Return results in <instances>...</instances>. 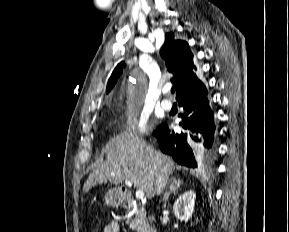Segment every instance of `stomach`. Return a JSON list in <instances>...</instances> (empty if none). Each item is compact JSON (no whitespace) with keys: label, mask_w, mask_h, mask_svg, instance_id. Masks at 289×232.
I'll use <instances>...</instances> for the list:
<instances>
[{"label":"stomach","mask_w":289,"mask_h":232,"mask_svg":"<svg viewBox=\"0 0 289 232\" xmlns=\"http://www.w3.org/2000/svg\"><path fill=\"white\" fill-rule=\"evenodd\" d=\"M107 205H116L121 202L122 198L115 191H109L105 197Z\"/></svg>","instance_id":"1"}]
</instances>
